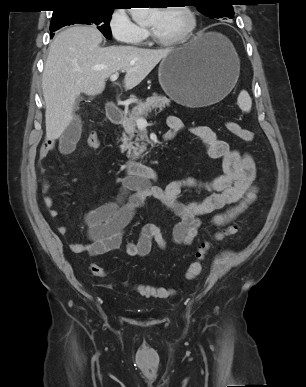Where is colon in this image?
<instances>
[{
    "label": "colon",
    "instance_id": "5ec220e1",
    "mask_svg": "<svg viewBox=\"0 0 306 387\" xmlns=\"http://www.w3.org/2000/svg\"><path fill=\"white\" fill-rule=\"evenodd\" d=\"M224 126L230 134L239 138L240 140L251 142L254 138V135L250 130L243 128L241 125L234 121H226ZM87 145L90 148H98L100 146L99 136L96 133L89 134L87 137ZM238 229L239 226L237 224H231L223 230L217 232L214 237L216 240H221L226 236L235 234ZM209 245L210 244L208 241H204L198 246L195 252V259L191 262L186 271V278L188 280L195 279L202 272V261L209 248ZM91 272L97 277H104L106 275L105 269L97 265H93L91 267ZM136 291L142 296L155 298H167L172 294V291L168 288L145 284L136 286Z\"/></svg>",
    "mask_w": 306,
    "mask_h": 387
}]
</instances>
